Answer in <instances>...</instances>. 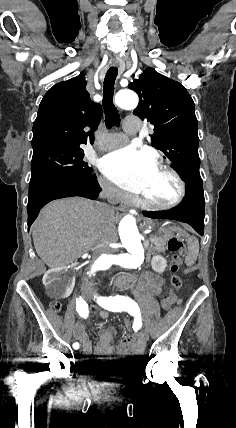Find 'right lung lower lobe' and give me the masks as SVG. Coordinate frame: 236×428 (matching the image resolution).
I'll return each mask as SVG.
<instances>
[{
	"label": "right lung lower lobe",
	"instance_id": "98d812e1",
	"mask_svg": "<svg viewBox=\"0 0 236 428\" xmlns=\"http://www.w3.org/2000/svg\"><path fill=\"white\" fill-rule=\"evenodd\" d=\"M100 188L96 175L87 177H59L29 186L28 194V229L37 218L40 209L52 200L81 196L96 199Z\"/></svg>",
	"mask_w": 236,
	"mask_h": 428
}]
</instances>
